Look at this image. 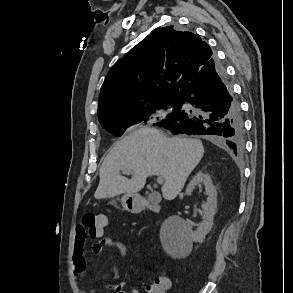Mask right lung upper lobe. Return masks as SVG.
I'll list each match as a JSON object with an SVG mask.
<instances>
[{
    "mask_svg": "<svg viewBox=\"0 0 293 293\" xmlns=\"http://www.w3.org/2000/svg\"><path fill=\"white\" fill-rule=\"evenodd\" d=\"M213 58L199 35L175 30L173 25L155 29L108 72L101 87L98 119L176 100Z\"/></svg>",
    "mask_w": 293,
    "mask_h": 293,
    "instance_id": "cb5924a9",
    "label": "right lung upper lobe"
}]
</instances>
